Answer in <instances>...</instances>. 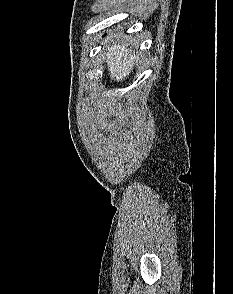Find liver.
Returning a JSON list of instances; mask_svg holds the SVG:
<instances>
[{
  "instance_id": "liver-1",
  "label": "liver",
  "mask_w": 233,
  "mask_h": 294,
  "mask_svg": "<svg viewBox=\"0 0 233 294\" xmlns=\"http://www.w3.org/2000/svg\"><path fill=\"white\" fill-rule=\"evenodd\" d=\"M106 50L105 56L110 78L117 82L122 81L133 70L138 55L135 54V51L130 50L128 44L123 40L112 42Z\"/></svg>"
}]
</instances>
